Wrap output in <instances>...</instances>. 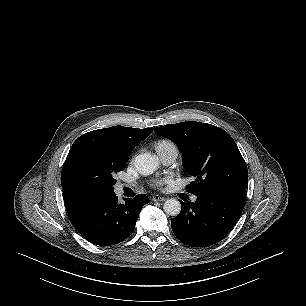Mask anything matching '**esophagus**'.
<instances>
[{
    "mask_svg": "<svg viewBox=\"0 0 306 306\" xmlns=\"http://www.w3.org/2000/svg\"><path fill=\"white\" fill-rule=\"evenodd\" d=\"M151 200L154 201V202H162V201H165L166 198L162 197V196H159V195H155V196H152Z\"/></svg>",
    "mask_w": 306,
    "mask_h": 306,
    "instance_id": "1",
    "label": "esophagus"
}]
</instances>
